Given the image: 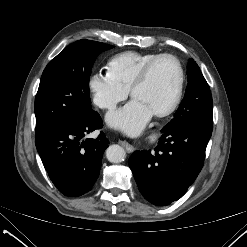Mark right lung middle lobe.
<instances>
[{
    "label": "right lung middle lobe",
    "mask_w": 247,
    "mask_h": 247,
    "mask_svg": "<svg viewBox=\"0 0 247 247\" xmlns=\"http://www.w3.org/2000/svg\"><path fill=\"white\" fill-rule=\"evenodd\" d=\"M113 46L79 40L46 66L35 98L36 136L94 114L89 79L96 57Z\"/></svg>",
    "instance_id": "obj_1"
}]
</instances>
